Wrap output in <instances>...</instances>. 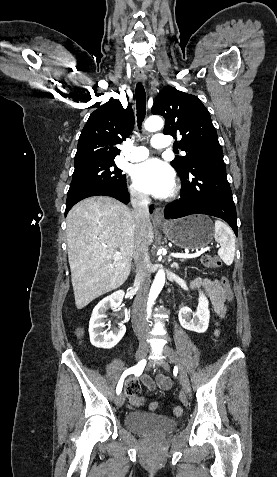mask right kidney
<instances>
[{"mask_svg":"<svg viewBox=\"0 0 277 477\" xmlns=\"http://www.w3.org/2000/svg\"><path fill=\"white\" fill-rule=\"evenodd\" d=\"M125 293L123 290L116 291L102 299L93 309L89 322V335L91 344L97 348L111 349L122 339L126 332L123 323L118 324L114 331H103L105 327L104 318L106 311L118 308L123 300Z\"/></svg>","mask_w":277,"mask_h":477,"instance_id":"right-kidney-1","label":"right kidney"}]
</instances>
